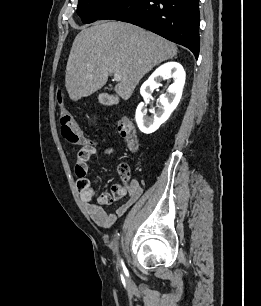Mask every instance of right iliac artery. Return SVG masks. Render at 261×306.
<instances>
[{
    "label": "right iliac artery",
    "mask_w": 261,
    "mask_h": 306,
    "mask_svg": "<svg viewBox=\"0 0 261 306\" xmlns=\"http://www.w3.org/2000/svg\"><path fill=\"white\" fill-rule=\"evenodd\" d=\"M120 262H121V264H122V265H123V267H124V263H123V261L121 260Z\"/></svg>",
    "instance_id": "1"
}]
</instances>
